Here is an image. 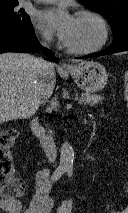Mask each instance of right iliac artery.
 <instances>
[{
	"label": "right iliac artery",
	"instance_id": "right-iliac-artery-1",
	"mask_svg": "<svg viewBox=\"0 0 128 213\" xmlns=\"http://www.w3.org/2000/svg\"><path fill=\"white\" fill-rule=\"evenodd\" d=\"M66 171V166L65 165H60L56 168V170L53 172L51 176L52 181H57L63 173Z\"/></svg>",
	"mask_w": 128,
	"mask_h": 213
}]
</instances>
